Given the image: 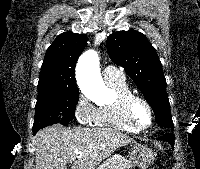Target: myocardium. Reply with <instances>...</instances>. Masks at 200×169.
Wrapping results in <instances>:
<instances>
[{
	"instance_id": "f54148a6",
	"label": "myocardium",
	"mask_w": 200,
	"mask_h": 169,
	"mask_svg": "<svg viewBox=\"0 0 200 169\" xmlns=\"http://www.w3.org/2000/svg\"><path fill=\"white\" fill-rule=\"evenodd\" d=\"M137 102L143 103L147 107L149 114H150L149 123L143 127L139 126L135 122L134 117H133V107ZM122 109H123V115H124L126 122L134 130H136L138 132H142V131L149 129L152 126L153 121H154V111H153L151 104L143 96H140L137 94H130V95L126 96L122 102Z\"/></svg>"
}]
</instances>
